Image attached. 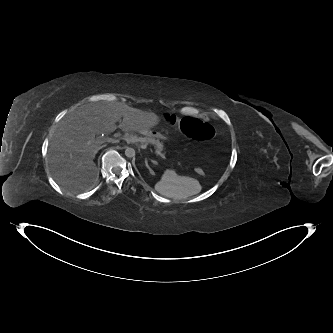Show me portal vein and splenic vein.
<instances>
[{
    "label": "portal vein and splenic vein",
    "instance_id": "18ae733b",
    "mask_svg": "<svg viewBox=\"0 0 333 333\" xmlns=\"http://www.w3.org/2000/svg\"><path fill=\"white\" fill-rule=\"evenodd\" d=\"M123 140L127 142H141L147 144V140L145 138H140V137H123ZM155 153L159 156H161L163 159H165V156L157 149L155 148ZM154 164H157V161L153 160L152 161Z\"/></svg>",
    "mask_w": 333,
    "mask_h": 333
}]
</instances>
